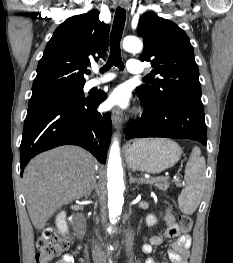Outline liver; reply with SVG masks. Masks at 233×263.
Here are the masks:
<instances>
[{"label":"liver","instance_id":"1","mask_svg":"<svg viewBox=\"0 0 233 263\" xmlns=\"http://www.w3.org/2000/svg\"><path fill=\"white\" fill-rule=\"evenodd\" d=\"M97 162L77 146H61L32 159L23 174L29 217L43 229L63 205L87 195L95 181Z\"/></svg>","mask_w":233,"mask_h":263}]
</instances>
